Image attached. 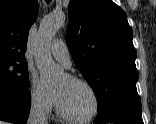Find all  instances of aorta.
Here are the masks:
<instances>
[{
    "mask_svg": "<svg viewBox=\"0 0 156 124\" xmlns=\"http://www.w3.org/2000/svg\"><path fill=\"white\" fill-rule=\"evenodd\" d=\"M65 21L63 13H53L44 18L37 35V46L34 53L36 66L43 84L48 85L57 80L63 70L57 66L51 56V41Z\"/></svg>",
    "mask_w": 156,
    "mask_h": 124,
    "instance_id": "1",
    "label": "aorta"
}]
</instances>
